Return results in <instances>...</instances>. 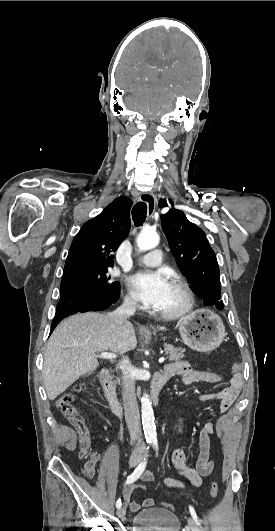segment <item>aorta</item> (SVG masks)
I'll return each mask as SVG.
<instances>
[{
  "mask_svg": "<svg viewBox=\"0 0 275 531\" xmlns=\"http://www.w3.org/2000/svg\"><path fill=\"white\" fill-rule=\"evenodd\" d=\"M136 243L140 253H143V251H150V249H155V247L159 245V235H157L156 231H153V229H143V231L139 233ZM141 413L145 435H147V437H156L152 403L146 393L141 399Z\"/></svg>",
  "mask_w": 275,
  "mask_h": 531,
  "instance_id": "aorta-1",
  "label": "aorta"
}]
</instances>
